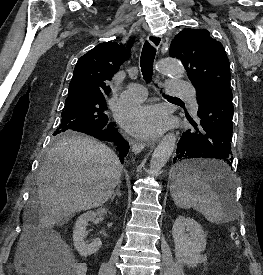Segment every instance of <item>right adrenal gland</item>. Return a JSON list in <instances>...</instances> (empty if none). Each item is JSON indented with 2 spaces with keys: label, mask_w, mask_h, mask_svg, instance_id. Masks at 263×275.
<instances>
[{
  "label": "right adrenal gland",
  "mask_w": 263,
  "mask_h": 275,
  "mask_svg": "<svg viewBox=\"0 0 263 275\" xmlns=\"http://www.w3.org/2000/svg\"><path fill=\"white\" fill-rule=\"evenodd\" d=\"M120 184H121V181H119L118 185H117V189L115 190V192L113 193L112 197H111V201L114 200V198L116 196H121V193H120Z\"/></svg>",
  "instance_id": "1"
}]
</instances>
